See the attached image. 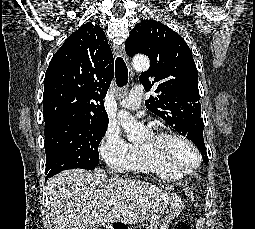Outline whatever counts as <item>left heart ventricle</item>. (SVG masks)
<instances>
[{
	"label": "left heart ventricle",
	"instance_id": "1",
	"mask_svg": "<svg viewBox=\"0 0 255 229\" xmlns=\"http://www.w3.org/2000/svg\"><path fill=\"white\" fill-rule=\"evenodd\" d=\"M151 141L152 136H150L145 143ZM160 150L170 163L178 167L190 166L196 161L194 152L186 144L176 139H169L163 142L160 146Z\"/></svg>",
	"mask_w": 255,
	"mask_h": 229
}]
</instances>
